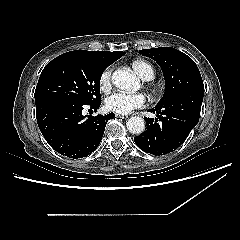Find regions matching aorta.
I'll use <instances>...</instances> for the list:
<instances>
[{"label":"aorta","instance_id":"762f6f07","mask_svg":"<svg viewBox=\"0 0 240 240\" xmlns=\"http://www.w3.org/2000/svg\"><path fill=\"white\" fill-rule=\"evenodd\" d=\"M112 83L121 90L134 91L138 88L137 78L126 70H116L112 74ZM126 126L129 132L133 134H141L145 130V121L141 117H130Z\"/></svg>","mask_w":240,"mask_h":240}]
</instances>
